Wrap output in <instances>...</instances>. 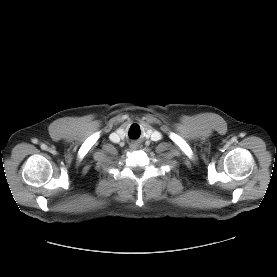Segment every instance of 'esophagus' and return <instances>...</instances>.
<instances>
[{"mask_svg":"<svg viewBox=\"0 0 277 277\" xmlns=\"http://www.w3.org/2000/svg\"><path fill=\"white\" fill-rule=\"evenodd\" d=\"M130 148H131L132 150H136V149L138 148V145H136V144H131V145H130Z\"/></svg>","mask_w":277,"mask_h":277,"instance_id":"esophagus-1","label":"esophagus"}]
</instances>
